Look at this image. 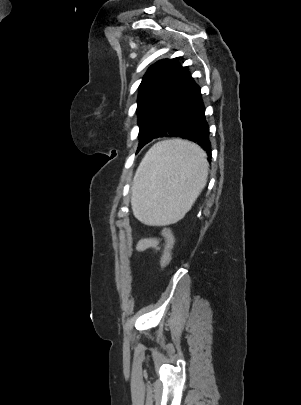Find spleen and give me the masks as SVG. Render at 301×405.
<instances>
[{
    "label": "spleen",
    "instance_id": "spleen-1",
    "mask_svg": "<svg viewBox=\"0 0 301 405\" xmlns=\"http://www.w3.org/2000/svg\"><path fill=\"white\" fill-rule=\"evenodd\" d=\"M208 166L205 152L192 142L173 139L154 144L134 177V216L146 225L181 220L204 188Z\"/></svg>",
    "mask_w": 301,
    "mask_h": 405
}]
</instances>
